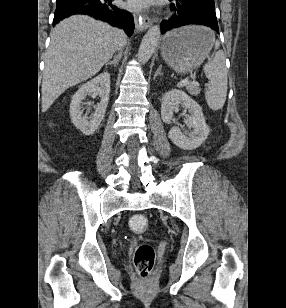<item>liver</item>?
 I'll use <instances>...</instances> for the list:
<instances>
[{"label":"liver","instance_id":"6515ba94","mask_svg":"<svg viewBox=\"0 0 286 308\" xmlns=\"http://www.w3.org/2000/svg\"><path fill=\"white\" fill-rule=\"evenodd\" d=\"M41 86V109L47 111L68 88L95 74L125 39L121 31L88 16L64 19L51 31Z\"/></svg>","mask_w":286,"mask_h":308}]
</instances>
